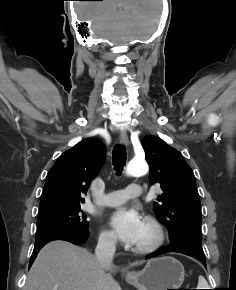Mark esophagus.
Returning <instances> with one entry per match:
<instances>
[{"label": "esophagus", "instance_id": "esophagus-1", "mask_svg": "<svg viewBox=\"0 0 236 290\" xmlns=\"http://www.w3.org/2000/svg\"><path fill=\"white\" fill-rule=\"evenodd\" d=\"M120 143L123 145H128L129 144V139L127 136V133L125 131H121L120 136H119Z\"/></svg>", "mask_w": 236, "mask_h": 290}]
</instances>
